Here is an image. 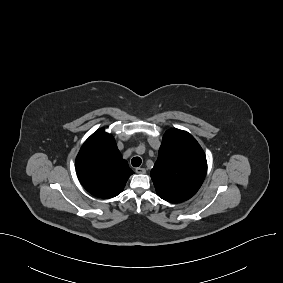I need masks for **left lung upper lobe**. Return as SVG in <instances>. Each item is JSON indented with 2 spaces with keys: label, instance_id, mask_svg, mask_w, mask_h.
Wrapping results in <instances>:
<instances>
[{
  "label": "left lung upper lobe",
  "instance_id": "5c2ea615",
  "mask_svg": "<svg viewBox=\"0 0 283 283\" xmlns=\"http://www.w3.org/2000/svg\"><path fill=\"white\" fill-rule=\"evenodd\" d=\"M207 172L206 156L186 131L168 130L163 137L151 178L160 198L180 203L201 187Z\"/></svg>",
  "mask_w": 283,
  "mask_h": 283
}]
</instances>
